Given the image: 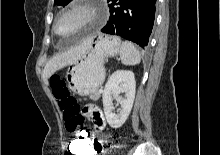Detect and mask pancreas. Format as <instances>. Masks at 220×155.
Returning a JSON list of instances; mask_svg holds the SVG:
<instances>
[{
  "mask_svg": "<svg viewBox=\"0 0 220 155\" xmlns=\"http://www.w3.org/2000/svg\"><path fill=\"white\" fill-rule=\"evenodd\" d=\"M93 101H97L100 98V93L97 92L90 97Z\"/></svg>",
  "mask_w": 220,
  "mask_h": 155,
  "instance_id": "pancreas-1",
  "label": "pancreas"
}]
</instances>
